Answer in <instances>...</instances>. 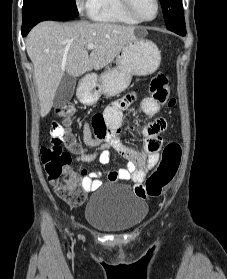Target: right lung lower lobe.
I'll use <instances>...</instances> for the list:
<instances>
[{"label":"right lung lower lobe","instance_id":"obj_1","mask_svg":"<svg viewBox=\"0 0 227 279\" xmlns=\"http://www.w3.org/2000/svg\"><path fill=\"white\" fill-rule=\"evenodd\" d=\"M22 36H26L29 31L39 22L45 20L65 21L71 20L74 17L62 13L56 8L48 5H38L31 10L27 15L22 16Z\"/></svg>","mask_w":227,"mask_h":279}]
</instances>
